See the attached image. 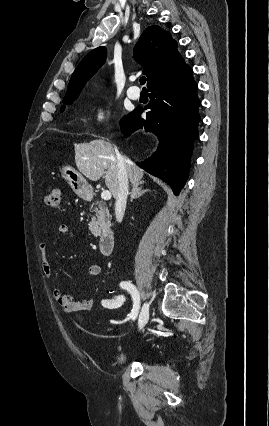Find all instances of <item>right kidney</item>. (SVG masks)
I'll return each instance as SVG.
<instances>
[{"label":"right kidney","mask_w":269,"mask_h":426,"mask_svg":"<svg viewBox=\"0 0 269 426\" xmlns=\"http://www.w3.org/2000/svg\"><path fill=\"white\" fill-rule=\"evenodd\" d=\"M125 295H118L115 300H103L102 301V309L105 311H117L121 308V305L126 301Z\"/></svg>","instance_id":"ca27d5eb"}]
</instances>
